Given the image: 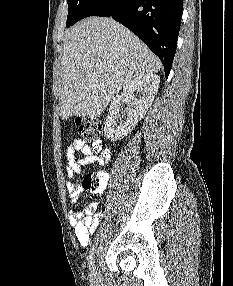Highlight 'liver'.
<instances>
[{
    "instance_id": "liver-1",
    "label": "liver",
    "mask_w": 233,
    "mask_h": 286,
    "mask_svg": "<svg viewBox=\"0 0 233 286\" xmlns=\"http://www.w3.org/2000/svg\"><path fill=\"white\" fill-rule=\"evenodd\" d=\"M160 69L158 58L110 18L89 17L66 32L61 59L62 119L96 118L135 77Z\"/></svg>"
}]
</instances>
